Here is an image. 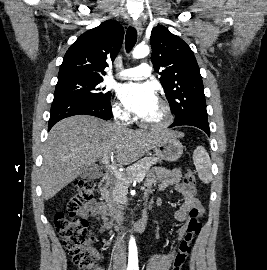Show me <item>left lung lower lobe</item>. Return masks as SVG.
Here are the masks:
<instances>
[{"instance_id":"0a47b994","label":"left lung lower lobe","mask_w":267,"mask_h":270,"mask_svg":"<svg viewBox=\"0 0 267 270\" xmlns=\"http://www.w3.org/2000/svg\"><path fill=\"white\" fill-rule=\"evenodd\" d=\"M184 125L198 127L202 129L208 136H210L208 119L191 117L177 122L174 121V123L170 127L184 126Z\"/></svg>"}]
</instances>
